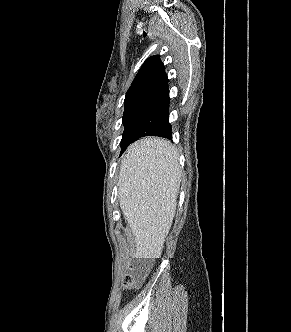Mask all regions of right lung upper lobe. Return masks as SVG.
Segmentation results:
<instances>
[{
	"label": "right lung upper lobe",
	"instance_id": "1",
	"mask_svg": "<svg viewBox=\"0 0 291 332\" xmlns=\"http://www.w3.org/2000/svg\"><path fill=\"white\" fill-rule=\"evenodd\" d=\"M167 83L168 78L159 55L152 56L139 69L126 93L125 99L139 96L147 97Z\"/></svg>",
	"mask_w": 291,
	"mask_h": 332
}]
</instances>
